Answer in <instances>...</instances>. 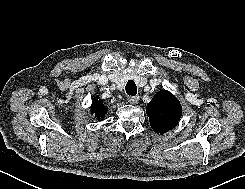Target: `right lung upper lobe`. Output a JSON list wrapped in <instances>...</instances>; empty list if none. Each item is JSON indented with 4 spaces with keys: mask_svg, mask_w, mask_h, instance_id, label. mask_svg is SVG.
<instances>
[{
    "mask_svg": "<svg viewBox=\"0 0 245 189\" xmlns=\"http://www.w3.org/2000/svg\"><path fill=\"white\" fill-rule=\"evenodd\" d=\"M99 97H97V99L95 98L92 102V106H91V112L92 114H95V117L97 119L103 118L105 116V113L107 111V107H105L103 105L102 100L98 99Z\"/></svg>",
    "mask_w": 245,
    "mask_h": 189,
    "instance_id": "1",
    "label": "right lung upper lobe"
}]
</instances>
